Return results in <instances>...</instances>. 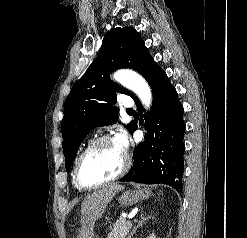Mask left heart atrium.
<instances>
[{"label":"left heart atrium","instance_id":"39dd6f15","mask_svg":"<svg viewBox=\"0 0 247 238\" xmlns=\"http://www.w3.org/2000/svg\"><path fill=\"white\" fill-rule=\"evenodd\" d=\"M114 141L122 151L126 150L128 146V140H127V136L124 133L122 132L118 133L115 136Z\"/></svg>","mask_w":247,"mask_h":238}]
</instances>
